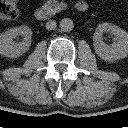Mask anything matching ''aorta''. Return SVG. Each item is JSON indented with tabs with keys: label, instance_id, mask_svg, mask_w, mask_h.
<instances>
[{
	"label": "aorta",
	"instance_id": "1",
	"mask_svg": "<svg viewBox=\"0 0 128 128\" xmlns=\"http://www.w3.org/2000/svg\"><path fill=\"white\" fill-rule=\"evenodd\" d=\"M59 26H60L61 31L70 32L74 28V23L70 18H63L60 21V25Z\"/></svg>",
	"mask_w": 128,
	"mask_h": 128
}]
</instances>
